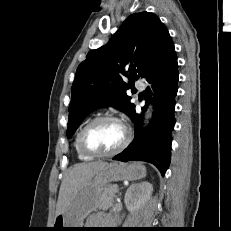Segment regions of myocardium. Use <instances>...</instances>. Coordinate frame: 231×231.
<instances>
[{"instance_id":"f54148a6","label":"myocardium","mask_w":231,"mask_h":231,"mask_svg":"<svg viewBox=\"0 0 231 231\" xmlns=\"http://www.w3.org/2000/svg\"><path fill=\"white\" fill-rule=\"evenodd\" d=\"M104 121H114L118 124H120L124 130L125 136L124 139L122 141V143L115 149L108 151V152H103V153H99V152H95L93 150H91L87 144H86V135L88 133V131L95 126L96 124L100 123V122H104ZM132 138V134L130 129L125 125V123L117 116L114 115H101L98 117H95L94 119L90 120L82 129L80 136H79V147L81 149V151L92 157V158H103V157H110V156H114L120 152H122L130 143Z\"/></svg>"}]
</instances>
